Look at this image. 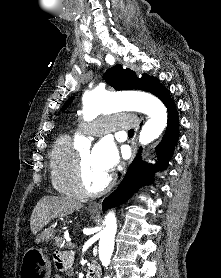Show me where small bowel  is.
<instances>
[{
	"mask_svg": "<svg viewBox=\"0 0 221 278\" xmlns=\"http://www.w3.org/2000/svg\"><path fill=\"white\" fill-rule=\"evenodd\" d=\"M73 255L71 252H57L54 254V263L58 273L52 278H64L72 276Z\"/></svg>",
	"mask_w": 221,
	"mask_h": 278,
	"instance_id": "obj_1",
	"label": "small bowel"
}]
</instances>
